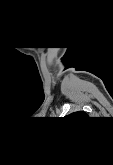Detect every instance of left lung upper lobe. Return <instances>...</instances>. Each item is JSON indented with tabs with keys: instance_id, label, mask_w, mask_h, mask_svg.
<instances>
[{
	"instance_id": "obj_1",
	"label": "left lung upper lobe",
	"mask_w": 113,
	"mask_h": 165,
	"mask_svg": "<svg viewBox=\"0 0 113 165\" xmlns=\"http://www.w3.org/2000/svg\"><path fill=\"white\" fill-rule=\"evenodd\" d=\"M79 114H81V115H86L84 112H76V113H73V114H71V115L76 116V115H79Z\"/></svg>"
}]
</instances>
